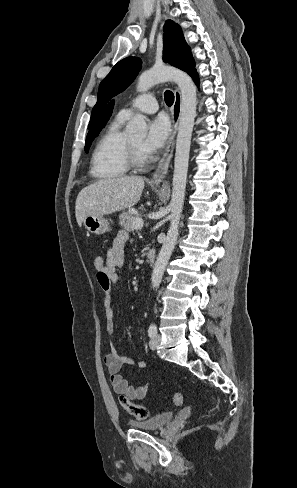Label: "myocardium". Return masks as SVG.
<instances>
[{
	"instance_id": "myocardium-1",
	"label": "myocardium",
	"mask_w": 297,
	"mask_h": 488,
	"mask_svg": "<svg viewBox=\"0 0 297 488\" xmlns=\"http://www.w3.org/2000/svg\"><path fill=\"white\" fill-rule=\"evenodd\" d=\"M148 158L143 156L137 146L131 140L128 142V163L135 168H143L148 163Z\"/></svg>"
}]
</instances>
